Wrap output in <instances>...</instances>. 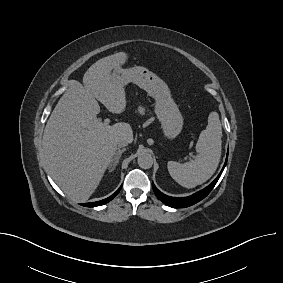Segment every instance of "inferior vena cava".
Segmentation results:
<instances>
[{"mask_svg":"<svg viewBox=\"0 0 283 283\" xmlns=\"http://www.w3.org/2000/svg\"><path fill=\"white\" fill-rule=\"evenodd\" d=\"M128 141L127 140H125V139H119L118 141H117V145H118V147H125V146H127L128 145Z\"/></svg>","mask_w":283,"mask_h":283,"instance_id":"1","label":"inferior vena cava"}]
</instances>
